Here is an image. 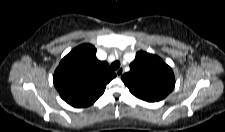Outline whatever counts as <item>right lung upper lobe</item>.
Instances as JSON below:
<instances>
[{"label":"right lung upper lobe","instance_id":"right-lung-upper-lobe-1","mask_svg":"<svg viewBox=\"0 0 225 132\" xmlns=\"http://www.w3.org/2000/svg\"><path fill=\"white\" fill-rule=\"evenodd\" d=\"M115 77L108 64L96 58V48L82 44L61 60L53 81L61 98L80 108L93 104Z\"/></svg>","mask_w":225,"mask_h":132}]
</instances>
